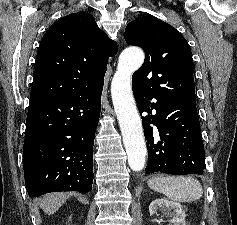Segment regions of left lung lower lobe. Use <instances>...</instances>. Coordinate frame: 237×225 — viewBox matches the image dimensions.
<instances>
[{
  "label": "left lung lower lobe",
  "mask_w": 237,
  "mask_h": 225,
  "mask_svg": "<svg viewBox=\"0 0 237 225\" xmlns=\"http://www.w3.org/2000/svg\"><path fill=\"white\" fill-rule=\"evenodd\" d=\"M147 140L146 173L174 175H204L206 170L204 145L196 101H168L132 86ZM157 101L149 108L148 99ZM152 109L156 114L150 115ZM155 125V127L151 126Z\"/></svg>",
  "instance_id": "obj_1"
}]
</instances>
